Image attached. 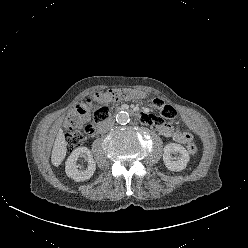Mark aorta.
<instances>
[{
	"label": "aorta",
	"instance_id": "aorta-1",
	"mask_svg": "<svg viewBox=\"0 0 248 248\" xmlns=\"http://www.w3.org/2000/svg\"><path fill=\"white\" fill-rule=\"evenodd\" d=\"M130 117L127 112L121 111L116 115V121L118 124L125 125L129 122Z\"/></svg>",
	"mask_w": 248,
	"mask_h": 248
}]
</instances>
